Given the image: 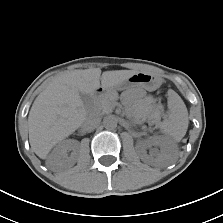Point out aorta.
<instances>
[{"instance_id":"762f6f07","label":"aorta","mask_w":223,"mask_h":223,"mask_svg":"<svg viewBox=\"0 0 223 223\" xmlns=\"http://www.w3.org/2000/svg\"><path fill=\"white\" fill-rule=\"evenodd\" d=\"M103 125L107 129H114L117 127V119L113 115H108L103 119Z\"/></svg>"}]
</instances>
